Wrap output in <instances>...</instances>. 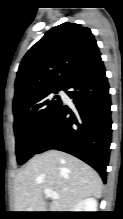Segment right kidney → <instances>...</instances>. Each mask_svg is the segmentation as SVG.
<instances>
[{
	"mask_svg": "<svg viewBox=\"0 0 123 219\" xmlns=\"http://www.w3.org/2000/svg\"><path fill=\"white\" fill-rule=\"evenodd\" d=\"M97 200L95 198H86L79 202L72 212H97Z\"/></svg>",
	"mask_w": 123,
	"mask_h": 219,
	"instance_id": "obj_1",
	"label": "right kidney"
}]
</instances>
